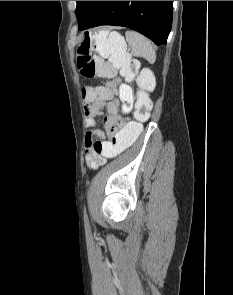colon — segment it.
Returning <instances> with one entry per match:
<instances>
[{"label":"colon","mask_w":233,"mask_h":295,"mask_svg":"<svg viewBox=\"0 0 233 295\" xmlns=\"http://www.w3.org/2000/svg\"><path fill=\"white\" fill-rule=\"evenodd\" d=\"M95 52L99 57L95 56ZM77 66L86 78H109L119 72L127 80L133 79L139 68L138 62L127 53L121 36L109 31L84 35L77 48ZM104 93V86L82 88L83 98L98 97ZM150 114L151 101L146 93L140 92L135 106V119L122 128H111L110 141L93 140L92 148L107 158L118 156L137 141L142 133L143 124L149 120Z\"/></svg>","instance_id":"5ec220e1"}]
</instances>
